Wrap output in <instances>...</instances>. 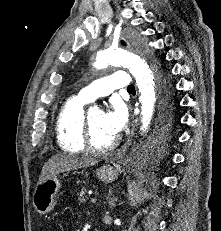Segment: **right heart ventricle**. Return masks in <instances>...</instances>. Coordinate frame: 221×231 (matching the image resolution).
I'll return each instance as SVG.
<instances>
[{
  "label": "right heart ventricle",
  "instance_id": "right-heart-ventricle-1",
  "mask_svg": "<svg viewBox=\"0 0 221 231\" xmlns=\"http://www.w3.org/2000/svg\"><path fill=\"white\" fill-rule=\"evenodd\" d=\"M86 101L74 96L62 105L55 123L58 146L72 153L83 152L82 123L84 118V105Z\"/></svg>",
  "mask_w": 221,
  "mask_h": 231
}]
</instances>
